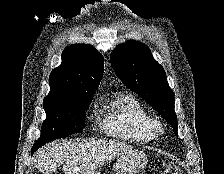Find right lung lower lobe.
Returning a JSON list of instances; mask_svg holds the SVG:
<instances>
[{
    "label": "right lung lower lobe",
    "mask_w": 224,
    "mask_h": 174,
    "mask_svg": "<svg viewBox=\"0 0 224 174\" xmlns=\"http://www.w3.org/2000/svg\"><path fill=\"white\" fill-rule=\"evenodd\" d=\"M38 148H32L31 152L32 154L37 150Z\"/></svg>",
    "instance_id": "obj_1"
}]
</instances>
